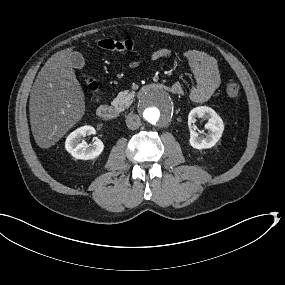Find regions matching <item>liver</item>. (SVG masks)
<instances>
[{
	"mask_svg": "<svg viewBox=\"0 0 285 285\" xmlns=\"http://www.w3.org/2000/svg\"><path fill=\"white\" fill-rule=\"evenodd\" d=\"M73 48L52 55L34 82L29 101L33 137L41 148L55 145L85 113V97L70 59Z\"/></svg>",
	"mask_w": 285,
	"mask_h": 285,
	"instance_id": "6515ba94",
	"label": "liver"
}]
</instances>
